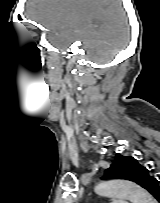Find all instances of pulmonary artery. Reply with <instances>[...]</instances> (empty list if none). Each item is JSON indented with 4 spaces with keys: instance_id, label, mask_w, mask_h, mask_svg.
Masks as SVG:
<instances>
[{
    "instance_id": "e3ab8cb5",
    "label": "pulmonary artery",
    "mask_w": 160,
    "mask_h": 203,
    "mask_svg": "<svg viewBox=\"0 0 160 203\" xmlns=\"http://www.w3.org/2000/svg\"><path fill=\"white\" fill-rule=\"evenodd\" d=\"M113 203H128L126 200H114Z\"/></svg>"
}]
</instances>
